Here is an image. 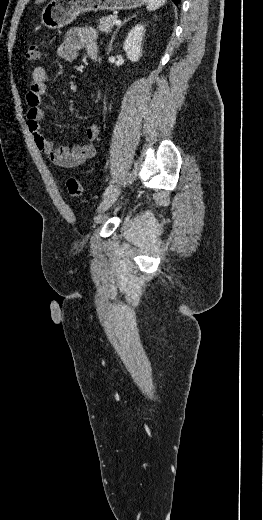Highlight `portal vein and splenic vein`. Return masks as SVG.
Returning <instances> with one entry per match:
<instances>
[{
	"instance_id": "portal-vein-and-splenic-vein-1",
	"label": "portal vein and splenic vein",
	"mask_w": 263,
	"mask_h": 520,
	"mask_svg": "<svg viewBox=\"0 0 263 520\" xmlns=\"http://www.w3.org/2000/svg\"><path fill=\"white\" fill-rule=\"evenodd\" d=\"M114 23H115L116 25H120V24H121V20H115Z\"/></svg>"
}]
</instances>
